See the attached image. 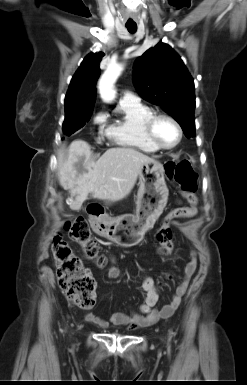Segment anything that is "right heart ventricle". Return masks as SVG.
<instances>
[{"label": "right heart ventricle", "mask_w": 247, "mask_h": 385, "mask_svg": "<svg viewBox=\"0 0 247 385\" xmlns=\"http://www.w3.org/2000/svg\"><path fill=\"white\" fill-rule=\"evenodd\" d=\"M153 113L150 107L140 102H120L118 117L108 127L106 136L116 145L155 153L159 149L149 140L144 129L146 119Z\"/></svg>", "instance_id": "right-heart-ventricle-1"}]
</instances>
